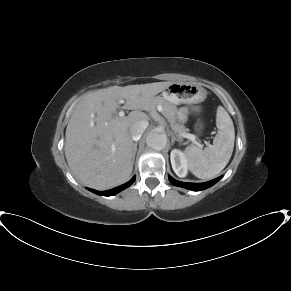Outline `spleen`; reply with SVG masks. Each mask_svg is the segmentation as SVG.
<instances>
[{
  "label": "spleen",
  "instance_id": "1",
  "mask_svg": "<svg viewBox=\"0 0 291 291\" xmlns=\"http://www.w3.org/2000/svg\"><path fill=\"white\" fill-rule=\"evenodd\" d=\"M218 133L213 145L201 148L190 145L185 149L191 172L200 179H210L219 174L228 164L235 141L234 125L227 111L219 106L216 115Z\"/></svg>",
  "mask_w": 291,
  "mask_h": 291
}]
</instances>
